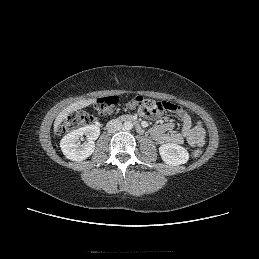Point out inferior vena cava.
Wrapping results in <instances>:
<instances>
[{
	"instance_id": "inferior-vena-cava-1",
	"label": "inferior vena cava",
	"mask_w": 259,
	"mask_h": 259,
	"mask_svg": "<svg viewBox=\"0 0 259 259\" xmlns=\"http://www.w3.org/2000/svg\"><path fill=\"white\" fill-rule=\"evenodd\" d=\"M122 126V123L118 119H113L107 123L106 129L109 133H116L122 129Z\"/></svg>"
}]
</instances>
